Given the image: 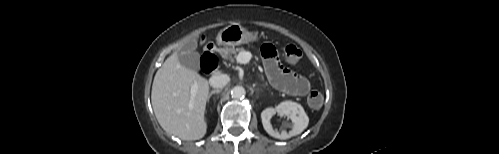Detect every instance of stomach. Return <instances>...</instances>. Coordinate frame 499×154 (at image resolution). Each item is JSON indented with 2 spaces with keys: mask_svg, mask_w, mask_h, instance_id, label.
Returning <instances> with one entry per match:
<instances>
[{
  "mask_svg": "<svg viewBox=\"0 0 499 154\" xmlns=\"http://www.w3.org/2000/svg\"><path fill=\"white\" fill-rule=\"evenodd\" d=\"M258 40V34L244 29L238 24L229 25L218 33L216 37L219 46L229 47Z\"/></svg>",
  "mask_w": 499,
  "mask_h": 154,
  "instance_id": "0dacf381",
  "label": "stomach"
}]
</instances>
